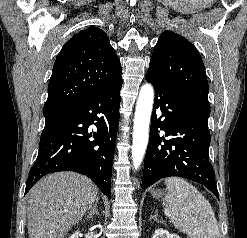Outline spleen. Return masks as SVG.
<instances>
[{"label":"spleen","instance_id":"1","mask_svg":"<svg viewBox=\"0 0 247 238\" xmlns=\"http://www.w3.org/2000/svg\"><path fill=\"white\" fill-rule=\"evenodd\" d=\"M168 194L164 213L189 238H219V228L208 200L196 187L179 177L165 179Z\"/></svg>","mask_w":247,"mask_h":238}]
</instances>
